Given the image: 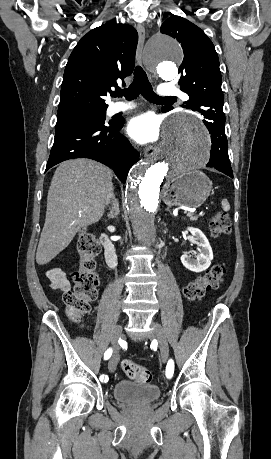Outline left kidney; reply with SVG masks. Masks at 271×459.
<instances>
[{
  "label": "left kidney",
  "mask_w": 271,
  "mask_h": 459,
  "mask_svg": "<svg viewBox=\"0 0 271 459\" xmlns=\"http://www.w3.org/2000/svg\"><path fill=\"white\" fill-rule=\"evenodd\" d=\"M196 239H198L200 245L199 247V255H196V259H193L191 255H187V253H183L181 255V261L187 269H191V271H203V269H207L211 263V259H213V251L212 247L203 231L198 228H187Z\"/></svg>",
  "instance_id": "1"
}]
</instances>
